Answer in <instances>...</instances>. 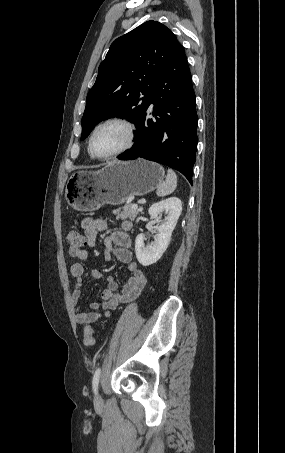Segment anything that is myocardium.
<instances>
[{
    "label": "myocardium",
    "mask_w": 285,
    "mask_h": 453,
    "mask_svg": "<svg viewBox=\"0 0 285 453\" xmlns=\"http://www.w3.org/2000/svg\"><path fill=\"white\" fill-rule=\"evenodd\" d=\"M112 123L120 124L126 128L127 133H128L127 142L123 147H121L120 149H118L117 151H115L111 154L104 155V156L98 155L95 153V151L93 149L94 136L101 127H103L107 124H112ZM136 138H137V128H136V125L131 120H129L125 117H120V116L109 117V118L101 121L100 123H98L92 130L90 137H89V141H88V150H89V153L91 154V156L96 159H99V160L113 159V158H116V157L126 153L127 151H129L135 145Z\"/></svg>",
    "instance_id": "1"
}]
</instances>
